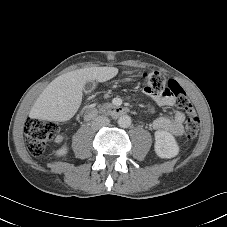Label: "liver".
<instances>
[{"mask_svg": "<svg viewBox=\"0 0 227 227\" xmlns=\"http://www.w3.org/2000/svg\"><path fill=\"white\" fill-rule=\"evenodd\" d=\"M118 74L115 67H91L68 72L55 78L35 101L30 116L65 122L78 111L87 81L105 82Z\"/></svg>", "mask_w": 227, "mask_h": 227, "instance_id": "liver-1", "label": "liver"}]
</instances>
